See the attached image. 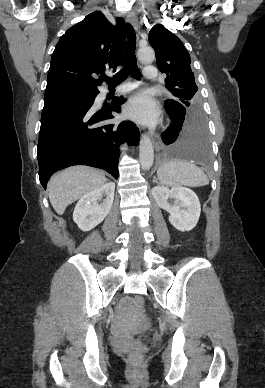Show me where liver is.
<instances>
[{"mask_svg":"<svg viewBox=\"0 0 265 388\" xmlns=\"http://www.w3.org/2000/svg\"><path fill=\"white\" fill-rule=\"evenodd\" d=\"M107 180L99 170L87 166H73L52 176L48 182L49 200L57 214L62 216L67 206L84 194L100 188Z\"/></svg>","mask_w":265,"mask_h":388,"instance_id":"obj_1","label":"liver"}]
</instances>
